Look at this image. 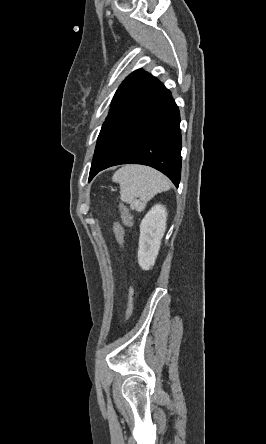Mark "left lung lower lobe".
<instances>
[{
    "instance_id": "left-lung-lower-lobe-1",
    "label": "left lung lower lobe",
    "mask_w": 266,
    "mask_h": 444,
    "mask_svg": "<svg viewBox=\"0 0 266 444\" xmlns=\"http://www.w3.org/2000/svg\"><path fill=\"white\" fill-rule=\"evenodd\" d=\"M119 164L151 166L178 187L181 176L180 114L171 93L159 83L106 118L98 136L89 181Z\"/></svg>"
}]
</instances>
